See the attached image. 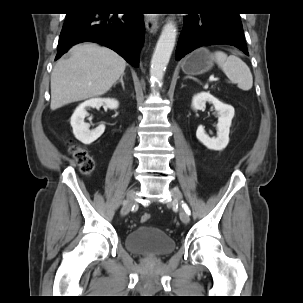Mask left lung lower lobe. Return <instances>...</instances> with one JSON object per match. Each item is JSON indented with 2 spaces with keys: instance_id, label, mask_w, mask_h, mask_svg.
<instances>
[{
  "instance_id": "obj_1",
  "label": "left lung lower lobe",
  "mask_w": 303,
  "mask_h": 303,
  "mask_svg": "<svg viewBox=\"0 0 303 303\" xmlns=\"http://www.w3.org/2000/svg\"><path fill=\"white\" fill-rule=\"evenodd\" d=\"M184 22L176 48V60L196 48L216 44L236 46L249 55L240 17L207 12L189 14Z\"/></svg>"
}]
</instances>
